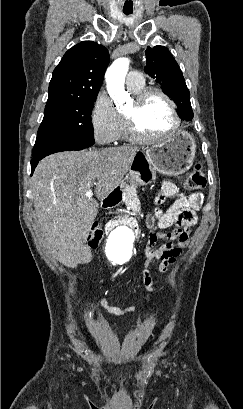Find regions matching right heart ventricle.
<instances>
[{
  "label": "right heart ventricle",
  "mask_w": 243,
  "mask_h": 409,
  "mask_svg": "<svg viewBox=\"0 0 243 409\" xmlns=\"http://www.w3.org/2000/svg\"><path fill=\"white\" fill-rule=\"evenodd\" d=\"M144 85L137 87V88H131L128 87L129 90L133 93V94H137L138 92H140L143 89ZM121 138L123 139H128L129 138V133L127 131L126 125H125V121L122 118V133H121Z\"/></svg>",
  "instance_id": "1"
}]
</instances>
